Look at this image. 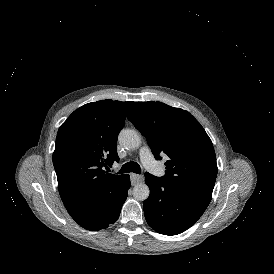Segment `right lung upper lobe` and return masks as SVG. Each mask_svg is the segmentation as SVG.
Masks as SVG:
<instances>
[{"label": "right lung upper lobe", "instance_id": "obj_1", "mask_svg": "<svg viewBox=\"0 0 274 274\" xmlns=\"http://www.w3.org/2000/svg\"><path fill=\"white\" fill-rule=\"evenodd\" d=\"M132 104L112 100L88 103L59 128L53 165L61 199L71 216L94 208L103 194L124 178L104 167L119 161L117 138Z\"/></svg>", "mask_w": 274, "mask_h": 274}]
</instances>
